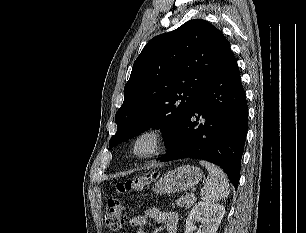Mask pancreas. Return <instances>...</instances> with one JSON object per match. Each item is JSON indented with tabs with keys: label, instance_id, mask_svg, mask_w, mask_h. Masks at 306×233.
<instances>
[{
	"label": "pancreas",
	"instance_id": "obj_1",
	"mask_svg": "<svg viewBox=\"0 0 306 233\" xmlns=\"http://www.w3.org/2000/svg\"><path fill=\"white\" fill-rule=\"evenodd\" d=\"M196 202V198L194 197H180L176 200V204L179 207H185L186 209L190 208Z\"/></svg>",
	"mask_w": 306,
	"mask_h": 233
}]
</instances>
